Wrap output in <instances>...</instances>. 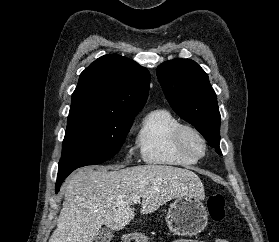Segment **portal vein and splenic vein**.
<instances>
[{
    "label": "portal vein and splenic vein",
    "instance_id": "obj_1",
    "mask_svg": "<svg viewBox=\"0 0 279 242\" xmlns=\"http://www.w3.org/2000/svg\"><path fill=\"white\" fill-rule=\"evenodd\" d=\"M140 200H141V198H140L139 196L133 197V202H134L135 204L140 203Z\"/></svg>",
    "mask_w": 279,
    "mask_h": 242
}]
</instances>
